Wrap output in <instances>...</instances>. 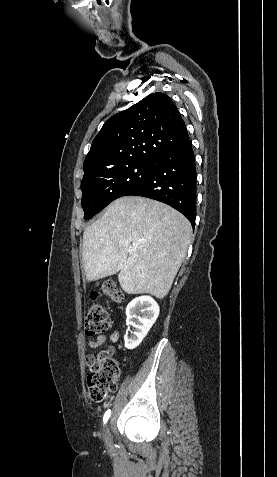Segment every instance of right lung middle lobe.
I'll list each match as a JSON object with an SVG mask.
<instances>
[{"instance_id":"1","label":"right lung middle lobe","mask_w":277,"mask_h":477,"mask_svg":"<svg viewBox=\"0 0 277 477\" xmlns=\"http://www.w3.org/2000/svg\"><path fill=\"white\" fill-rule=\"evenodd\" d=\"M152 162H130L85 172L81 183L84 218L90 219L115 199L125 196L153 168Z\"/></svg>"}]
</instances>
